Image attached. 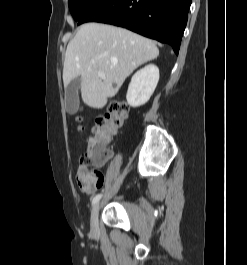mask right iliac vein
<instances>
[{"mask_svg": "<svg viewBox=\"0 0 247 265\" xmlns=\"http://www.w3.org/2000/svg\"><path fill=\"white\" fill-rule=\"evenodd\" d=\"M100 204L96 203L91 211V232L92 234H98V215H99Z\"/></svg>", "mask_w": 247, "mask_h": 265, "instance_id": "right-iliac-vein-1", "label": "right iliac vein"}]
</instances>
